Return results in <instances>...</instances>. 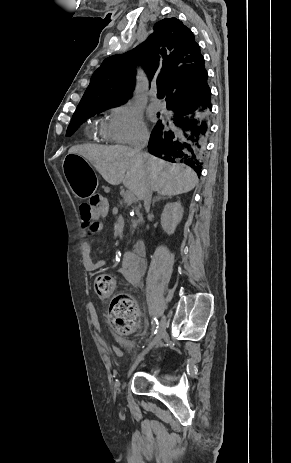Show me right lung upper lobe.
Segmentation results:
<instances>
[{"label":"right lung upper lobe","mask_w":291,"mask_h":463,"mask_svg":"<svg viewBox=\"0 0 291 463\" xmlns=\"http://www.w3.org/2000/svg\"><path fill=\"white\" fill-rule=\"evenodd\" d=\"M140 46L108 57L93 73L77 109L108 103H123L135 87V63H139L167 102L175 98H196L206 75L204 57L194 35L180 20L165 18Z\"/></svg>","instance_id":"obj_1"}]
</instances>
